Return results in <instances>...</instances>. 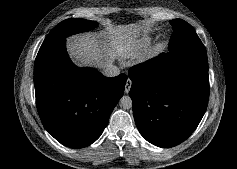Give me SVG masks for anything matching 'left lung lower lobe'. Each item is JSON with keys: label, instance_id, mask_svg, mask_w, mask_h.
Here are the masks:
<instances>
[{"label": "left lung lower lobe", "instance_id": "left-lung-lower-lobe-1", "mask_svg": "<svg viewBox=\"0 0 237 169\" xmlns=\"http://www.w3.org/2000/svg\"><path fill=\"white\" fill-rule=\"evenodd\" d=\"M133 115L150 143L173 147L200 123L209 99L206 53L160 54L129 69Z\"/></svg>", "mask_w": 237, "mask_h": 169}]
</instances>
